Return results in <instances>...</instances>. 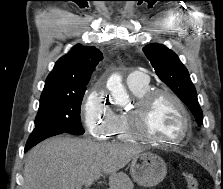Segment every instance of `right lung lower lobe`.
I'll list each match as a JSON object with an SVG mask.
<instances>
[{
	"instance_id": "98d812e1",
	"label": "right lung lower lobe",
	"mask_w": 223,
	"mask_h": 189,
	"mask_svg": "<svg viewBox=\"0 0 223 189\" xmlns=\"http://www.w3.org/2000/svg\"><path fill=\"white\" fill-rule=\"evenodd\" d=\"M61 133H63V132H61V131H45V132L32 133L27 140V144L25 146L24 152H27L30 148H32L39 142L43 141L44 139L51 137V136L61 134Z\"/></svg>"
}]
</instances>
